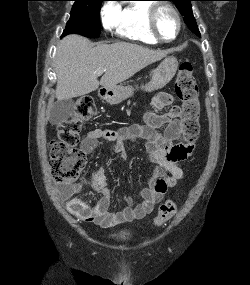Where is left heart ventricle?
Wrapping results in <instances>:
<instances>
[{
	"label": "left heart ventricle",
	"instance_id": "left-heart-ventricle-1",
	"mask_svg": "<svg viewBox=\"0 0 250 285\" xmlns=\"http://www.w3.org/2000/svg\"><path fill=\"white\" fill-rule=\"evenodd\" d=\"M157 29L163 38L170 39L175 36L178 29V23L171 11L162 9L159 12L157 18Z\"/></svg>",
	"mask_w": 250,
	"mask_h": 285
}]
</instances>
